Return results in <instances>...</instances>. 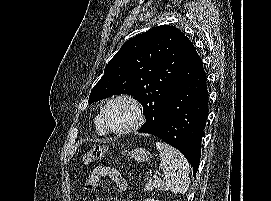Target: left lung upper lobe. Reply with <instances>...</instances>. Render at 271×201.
I'll return each mask as SVG.
<instances>
[{
	"label": "left lung upper lobe",
	"instance_id": "1",
	"mask_svg": "<svg viewBox=\"0 0 271 201\" xmlns=\"http://www.w3.org/2000/svg\"><path fill=\"white\" fill-rule=\"evenodd\" d=\"M184 40L185 35L169 25L129 39L108 62L104 75L91 91L89 103L114 94L132 95L144 109L146 123L142 127L156 128L177 79Z\"/></svg>",
	"mask_w": 271,
	"mask_h": 201
}]
</instances>
